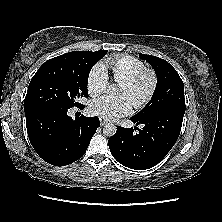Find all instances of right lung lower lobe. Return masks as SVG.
Wrapping results in <instances>:
<instances>
[{"label": "right lung lower lobe", "instance_id": "obj_1", "mask_svg": "<svg viewBox=\"0 0 222 222\" xmlns=\"http://www.w3.org/2000/svg\"><path fill=\"white\" fill-rule=\"evenodd\" d=\"M68 109L44 107L25 113L29 140L37 154L49 164L64 166L80 159L96 129L98 117L73 120Z\"/></svg>", "mask_w": 222, "mask_h": 222}]
</instances>
